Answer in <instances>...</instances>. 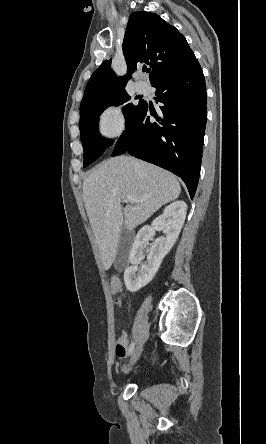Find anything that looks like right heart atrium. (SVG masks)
Wrapping results in <instances>:
<instances>
[{
  "mask_svg": "<svg viewBox=\"0 0 266 444\" xmlns=\"http://www.w3.org/2000/svg\"><path fill=\"white\" fill-rule=\"evenodd\" d=\"M126 127L125 116L119 106L109 105L99 115L98 130L102 139H118Z\"/></svg>",
  "mask_w": 266,
  "mask_h": 444,
  "instance_id": "d8ad5b80",
  "label": "right heart atrium"
}]
</instances>
